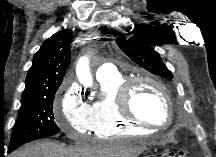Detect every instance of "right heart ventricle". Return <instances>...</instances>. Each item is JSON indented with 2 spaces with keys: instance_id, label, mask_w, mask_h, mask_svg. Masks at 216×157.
<instances>
[{
  "instance_id": "right-heart-ventricle-1",
  "label": "right heart ventricle",
  "mask_w": 216,
  "mask_h": 157,
  "mask_svg": "<svg viewBox=\"0 0 216 157\" xmlns=\"http://www.w3.org/2000/svg\"><path fill=\"white\" fill-rule=\"evenodd\" d=\"M125 80L121 73L98 80L102 95L90 105L91 131L95 137L138 136L146 133V128L131 123L119 113L117 91Z\"/></svg>"
}]
</instances>
